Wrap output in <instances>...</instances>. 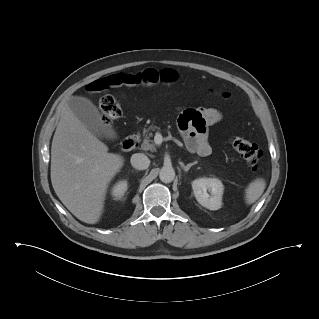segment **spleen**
Listing matches in <instances>:
<instances>
[{
    "mask_svg": "<svg viewBox=\"0 0 319 319\" xmlns=\"http://www.w3.org/2000/svg\"><path fill=\"white\" fill-rule=\"evenodd\" d=\"M266 187L264 179L257 178L251 182L245 190V201L247 204H253L263 194Z\"/></svg>",
    "mask_w": 319,
    "mask_h": 319,
    "instance_id": "1",
    "label": "spleen"
}]
</instances>
